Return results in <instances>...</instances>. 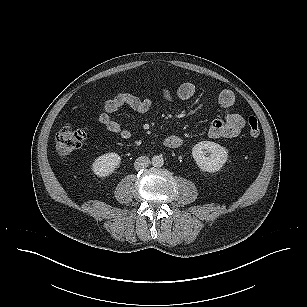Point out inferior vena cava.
I'll use <instances>...</instances> for the list:
<instances>
[{
    "label": "inferior vena cava",
    "mask_w": 307,
    "mask_h": 307,
    "mask_svg": "<svg viewBox=\"0 0 307 307\" xmlns=\"http://www.w3.org/2000/svg\"><path fill=\"white\" fill-rule=\"evenodd\" d=\"M151 161L147 156H140L136 159L134 167L136 170H141L147 168L150 165Z\"/></svg>",
    "instance_id": "obj_1"
}]
</instances>
